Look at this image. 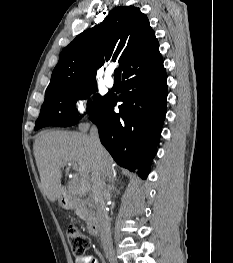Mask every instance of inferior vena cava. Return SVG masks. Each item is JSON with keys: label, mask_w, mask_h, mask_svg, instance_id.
Instances as JSON below:
<instances>
[{"label": "inferior vena cava", "mask_w": 233, "mask_h": 263, "mask_svg": "<svg viewBox=\"0 0 233 263\" xmlns=\"http://www.w3.org/2000/svg\"><path fill=\"white\" fill-rule=\"evenodd\" d=\"M90 138L92 140L93 149L99 158L102 145L99 140L98 129L92 125L90 129ZM92 196L95 203L96 214L100 225V239L103 250L110 263H117L113 251L112 237H111V224L106 210L105 194L100 179L92 181Z\"/></svg>", "instance_id": "602c4592"}]
</instances>
